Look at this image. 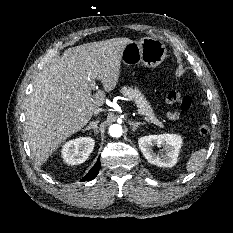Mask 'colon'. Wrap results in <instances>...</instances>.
I'll use <instances>...</instances> for the list:
<instances>
[{
    "mask_svg": "<svg viewBox=\"0 0 233 233\" xmlns=\"http://www.w3.org/2000/svg\"><path fill=\"white\" fill-rule=\"evenodd\" d=\"M166 101L171 105L179 106L184 112L191 111L194 106V100L190 95L183 94L175 89H171L167 92ZM198 132L202 136H207L210 133V127L208 124L203 123L198 127Z\"/></svg>",
    "mask_w": 233,
    "mask_h": 233,
    "instance_id": "5ec220e1",
    "label": "colon"
}]
</instances>
